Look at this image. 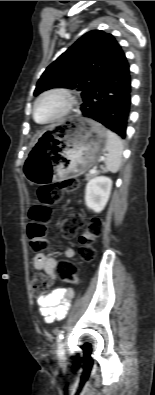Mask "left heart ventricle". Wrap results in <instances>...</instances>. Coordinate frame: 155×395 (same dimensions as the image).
Here are the masks:
<instances>
[{
    "label": "left heart ventricle",
    "mask_w": 155,
    "mask_h": 395,
    "mask_svg": "<svg viewBox=\"0 0 155 395\" xmlns=\"http://www.w3.org/2000/svg\"><path fill=\"white\" fill-rule=\"evenodd\" d=\"M60 108V101L55 98H49L42 101L36 111L37 119L44 121L54 115Z\"/></svg>",
    "instance_id": "left-heart-ventricle-1"
}]
</instances>
